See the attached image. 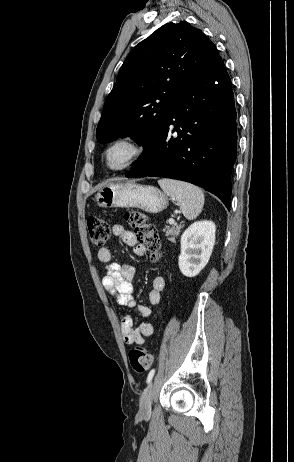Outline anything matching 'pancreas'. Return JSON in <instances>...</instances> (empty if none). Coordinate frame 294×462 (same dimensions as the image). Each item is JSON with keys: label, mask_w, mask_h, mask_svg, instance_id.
<instances>
[{"label": "pancreas", "mask_w": 294, "mask_h": 462, "mask_svg": "<svg viewBox=\"0 0 294 462\" xmlns=\"http://www.w3.org/2000/svg\"><path fill=\"white\" fill-rule=\"evenodd\" d=\"M181 229L182 226H166V228L163 229V232H165L171 242H175V238L180 234Z\"/></svg>", "instance_id": "pancreas-1"}]
</instances>
